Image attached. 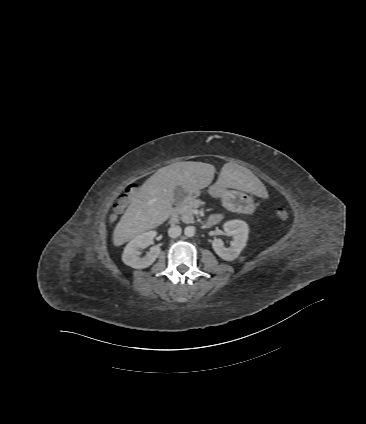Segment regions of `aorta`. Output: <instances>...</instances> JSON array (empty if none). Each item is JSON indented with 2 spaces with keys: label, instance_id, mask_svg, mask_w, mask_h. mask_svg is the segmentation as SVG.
Masks as SVG:
<instances>
[{
  "label": "aorta",
  "instance_id": "aorta-1",
  "mask_svg": "<svg viewBox=\"0 0 366 424\" xmlns=\"http://www.w3.org/2000/svg\"><path fill=\"white\" fill-rule=\"evenodd\" d=\"M195 232H196V229H195V227H194V226H187V227H185V229H184V234H185L187 237H192V236H194V235H195Z\"/></svg>",
  "mask_w": 366,
  "mask_h": 424
}]
</instances>
